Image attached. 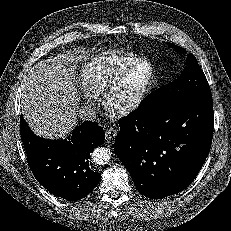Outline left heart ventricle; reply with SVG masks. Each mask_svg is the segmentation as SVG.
<instances>
[{"mask_svg": "<svg viewBox=\"0 0 231 231\" xmlns=\"http://www.w3.org/2000/svg\"><path fill=\"white\" fill-rule=\"evenodd\" d=\"M150 77V70L147 66H142L136 70L122 93V98L127 100L132 98L138 91H140L148 82Z\"/></svg>", "mask_w": 231, "mask_h": 231, "instance_id": "1", "label": "left heart ventricle"}]
</instances>
